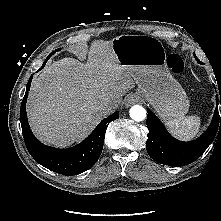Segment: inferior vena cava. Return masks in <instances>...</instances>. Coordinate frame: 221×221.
Wrapping results in <instances>:
<instances>
[{"instance_id":"inferior-vena-cava-1","label":"inferior vena cava","mask_w":221,"mask_h":221,"mask_svg":"<svg viewBox=\"0 0 221 221\" xmlns=\"http://www.w3.org/2000/svg\"><path fill=\"white\" fill-rule=\"evenodd\" d=\"M118 106H119V104L117 102L105 103L103 106L104 113L106 115H109V114L113 113L118 108Z\"/></svg>"}]
</instances>
